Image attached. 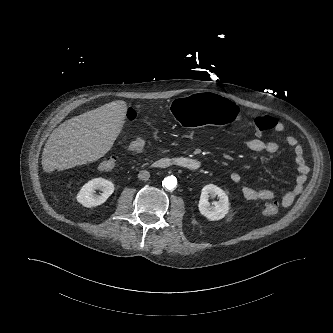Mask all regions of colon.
Returning <instances> with one entry per match:
<instances>
[{"instance_id":"obj_1","label":"colon","mask_w":333,"mask_h":333,"mask_svg":"<svg viewBox=\"0 0 333 333\" xmlns=\"http://www.w3.org/2000/svg\"><path fill=\"white\" fill-rule=\"evenodd\" d=\"M127 118L130 121H134L137 118V111L134 108H129L127 112ZM249 127L257 134L260 135L265 131L273 129L276 124V120L268 115L256 116L249 120ZM119 160L115 156H109L103 159L100 163V170L112 171L117 168ZM279 212V205L277 202L267 203L263 208V213L267 216H275Z\"/></svg>"}]
</instances>
